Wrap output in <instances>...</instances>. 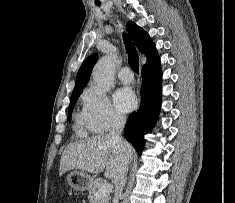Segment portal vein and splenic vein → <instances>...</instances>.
Segmentation results:
<instances>
[{"label": "portal vein and splenic vein", "mask_w": 235, "mask_h": 203, "mask_svg": "<svg viewBox=\"0 0 235 203\" xmlns=\"http://www.w3.org/2000/svg\"><path fill=\"white\" fill-rule=\"evenodd\" d=\"M112 191V185L110 183H105L97 192V197L101 198L103 196L109 195Z\"/></svg>", "instance_id": "portal-vein-and-splenic-vein-1"}]
</instances>
